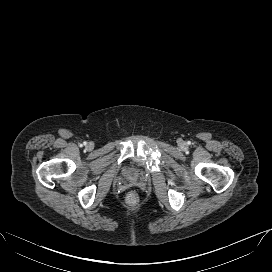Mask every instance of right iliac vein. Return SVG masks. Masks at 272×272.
Returning <instances> with one entry per match:
<instances>
[{
  "instance_id": "1",
  "label": "right iliac vein",
  "mask_w": 272,
  "mask_h": 272,
  "mask_svg": "<svg viewBox=\"0 0 272 272\" xmlns=\"http://www.w3.org/2000/svg\"><path fill=\"white\" fill-rule=\"evenodd\" d=\"M87 148H88V149H91V148H92V144H88V145H87Z\"/></svg>"
}]
</instances>
